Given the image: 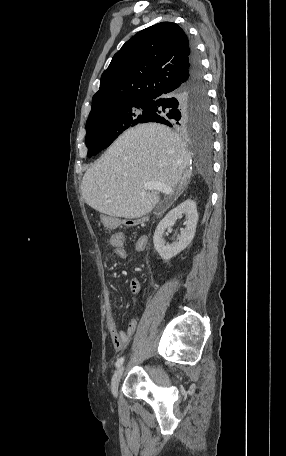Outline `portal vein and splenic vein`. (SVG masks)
Here are the masks:
<instances>
[{
  "label": "portal vein and splenic vein",
  "mask_w": 286,
  "mask_h": 456,
  "mask_svg": "<svg viewBox=\"0 0 286 456\" xmlns=\"http://www.w3.org/2000/svg\"><path fill=\"white\" fill-rule=\"evenodd\" d=\"M143 191H159L167 195L172 194L173 190L170 186L158 182V181H149L144 184Z\"/></svg>",
  "instance_id": "18ae733b"
}]
</instances>
